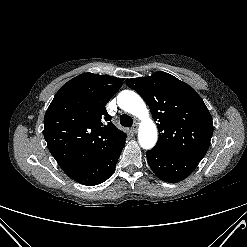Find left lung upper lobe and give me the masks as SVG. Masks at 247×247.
Wrapping results in <instances>:
<instances>
[{
    "mask_svg": "<svg viewBox=\"0 0 247 247\" xmlns=\"http://www.w3.org/2000/svg\"><path fill=\"white\" fill-rule=\"evenodd\" d=\"M126 85L141 95L158 122L155 147L182 158L198 162L203 159L213 134V122L192 87L162 71L129 79Z\"/></svg>",
    "mask_w": 247,
    "mask_h": 247,
    "instance_id": "obj_1",
    "label": "left lung upper lobe"
}]
</instances>
